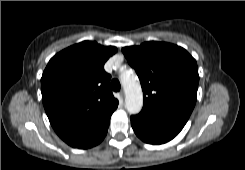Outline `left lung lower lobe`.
I'll return each instance as SVG.
<instances>
[{"label":"left lung lower lobe","instance_id":"1","mask_svg":"<svg viewBox=\"0 0 245 170\" xmlns=\"http://www.w3.org/2000/svg\"><path fill=\"white\" fill-rule=\"evenodd\" d=\"M131 125L136 135L149 144L166 143L173 139L184 127L183 124L144 111L131 116Z\"/></svg>","mask_w":245,"mask_h":170}]
</instances>
